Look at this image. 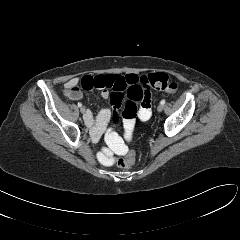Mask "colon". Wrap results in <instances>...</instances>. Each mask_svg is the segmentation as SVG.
I'll list each match as a JSON object with an SVG mask.
<instances>
[{
  "instance_id": "obj_1",
  "label": "colon",
  "mask_w": 240,
  "mask_h": 240,
  "mask_svg": "<svg viewBox=\"0 0 240 240\" xmlns=\"http://www.w3.org/2000/svg\"><path fill=\"white\" fill-rule=\"evenodd\" d=\"M140 83L143 86L153 90L165 91L174 93L178 89V82L166 73L156 72L144 75L140 78ZM79 88L71 86L67 88L69 95L78 94ZM127 101L123 110V118L126 121H134L137 113L136 103L140 101V90L136 86H131L127 90ZM135 163V152L130 150L125 156L119 157L115 160V165L119 168H130Z\"/></svg>"
}]
</instances>
